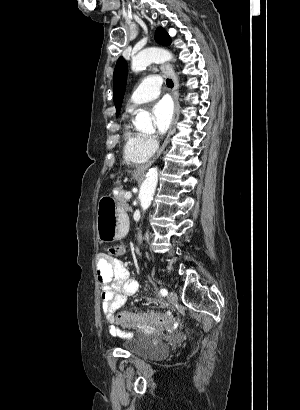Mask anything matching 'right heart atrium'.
Here are the masks:
<instances>
[{
    "instance_id": "right-heart-atrium-1",
    "label": "right heart atrium",
    "mask_w": 300,
    "mask_h": 410,
    "mask_svg": "<svg viewBox=\"0 0 300 410\" xmlns=\"http://www.w3.org/2000/svg\"><path fill=\"white\" fill-rule=\"evenodd\" d=\"M143 145L149 152H153L157 147V141L152 136L144 135Z\"/></svg>"
}]
</instances>
